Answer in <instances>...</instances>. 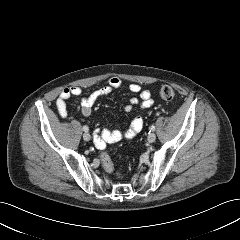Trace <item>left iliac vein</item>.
<instances>
[{"label": "left iliac vein", "instance_id": "4c4485c4", "mask_svg": "<svg viewBox=\"0 0 240 240\" xmlns=\"http://www.w3.org/2000/svg\"><path fill=\"white\" fill-rule=\"evenodd\" d=\"M156 140V135L154 133H150L148 136H147V141L149 143H153L154 141Z\"/></svg>", "mask_w": 240, "mask_h": 240}]
</instances>
